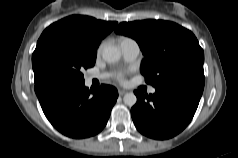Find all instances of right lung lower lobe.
Wrapping results in <instances>:
<instances>
[{"mask_svg": "<svg viewBox=\"0 0 238 158\" xmlns=\"http://www.w3.org/2000/svg\"><path fill=\"white\" fill-rule=\"evenodd\" d=\"M35 92L50 123L62 134L86 138L99 133L106 125L118 92L102 85L89 90L84 82L53 73L34 76Z\"/></svg>", "mask_w": 238, "mask_h": 158, "instance_id": "obj_1", "label": "right lung lower lobe"}]
</instances>
